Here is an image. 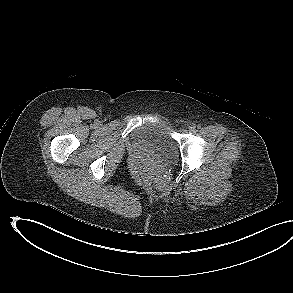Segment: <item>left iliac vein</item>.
I'll list each match as a JSON object with an SVG mask.
<instances>
[{
  "label": "left iliac vein",
  "instance_id": "left-iliac-vein-1",
  "mask_svg": "<svg viewBox=\"0 0 293 293\" xmlns=\"http://www.w3.org/2000/svg\"><path fill=\"white\" fill-rule=\"evenodd\" d=\"M195 130H196V129H195V127H194V126H191V127H189V132H190V133H193V132H195Z\"/></svg>",
  "mask_w": 293,
  "mask_h": 293
}]
</instances>
